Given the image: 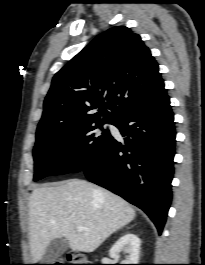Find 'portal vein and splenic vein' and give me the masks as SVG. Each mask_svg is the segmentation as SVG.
Wrapping results in <instances>:
<instances>
[{"instance_id": "1", "label": "portal vein and splenic vein", "mask_w": 205, "mask_h": 265, "mask_svg": "<svg viewBox=\"0 0 205 265\" xmlns=\"http://www.w3.org/2000/svg\"><path fill=\"white\" fill-rule=\"evenodd\" d=\"M89 229L88 228H85L83 226H77V231L78 232H82V231H88Z\"/></svg>"}]
</instances>
